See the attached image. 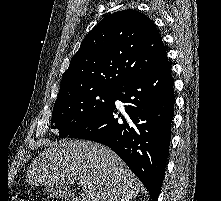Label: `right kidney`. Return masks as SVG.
<instances>
[{"label": "right kidney", "instance_id": "ca27d5eb", "mask_svg": "<svg viewBox=\"0 0 221 201\" xmlns=\"http://www.w3.org/2000/svg\"><path fill=\"white\" fill-rule=\"evenodd\" d=\"M118 201H129V199H127V198H121V199H119Z\"/></svg>", "mask_w": 221, "mask_h": 201}]
</instances>
